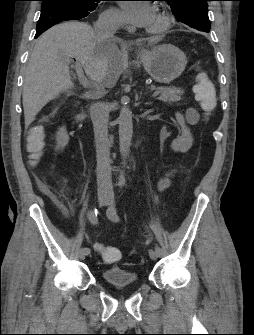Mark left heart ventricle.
<instances>
[{"label":"left heart ventricle","instance_id":"b2bd125f","mask_svg":"<svg viewBox=\"0 0 254 335\" xmlns=\"http://www.w3.org/2000/svg\"><path fill=\"white\" fill-rule=\"evenodd\" d=\"M158 24H159V19H158V17H156V20L153 24V28H155Z\"/></svg>","mask_w":254,"mask_h":335}]
</instances>
